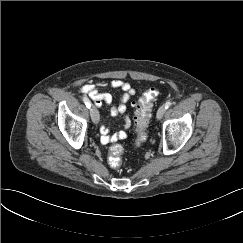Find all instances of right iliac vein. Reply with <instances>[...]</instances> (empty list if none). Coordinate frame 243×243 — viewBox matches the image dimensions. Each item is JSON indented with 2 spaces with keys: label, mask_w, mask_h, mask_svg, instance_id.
I'll use <instances>...</instances> for the list:
<instances>
[{
  "label": "right iliac vein",
  "mask_w": 243,
  "mask_h": 243,
  "mask_svg": "<svg viewBox=\"0 0 243 243\" xmlns=\"http://www.w3.org/2000/svg\"><path fill=\"white\" fill-rule=\"evenodd\" d=\"M90 115L94 124H98L100 120V115L97 108L93 105L90 107Z\"/></svg>",
  "instance_id": "63e3f726"
}]
</instances>
